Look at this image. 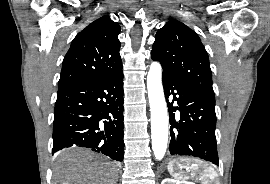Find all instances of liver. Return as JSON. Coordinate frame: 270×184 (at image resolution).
I'll list each match as a JSON object with an SVG mask.
<instances>
[{
    "label": "liver",
    "instance_id": "liver-1",
    "mask_svg": "<svg viewBox=\"0 0 270 184\" xmlns=\"http://www.w3.org/2000/svg\"><path fill=\"white\" fill-rule=\"evenodd\" d=\"M61 158L53 168V184H117L118 169L113 162L81 148L63 152Z\"/></svg>",
    "mask_w": 270,
    "mask_h": 184
}]
</instances>
